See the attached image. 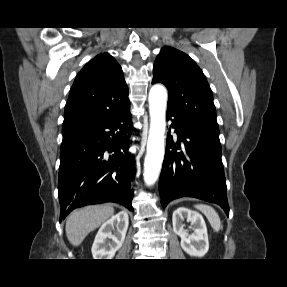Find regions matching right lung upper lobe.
<instances>
[{
  "instance_id": "right-lung-upper-lobe-1",
  "label": "right lung upper lobe",
  "mask_w": 287,
  "mask_h": 287,
  "mask_svg": "<svg viewBox=\"0 0 287 287\" xmlns=\"http://www.w3.org/2000/svg\"><path fill=\"white\" fill-rule=\"evenodd\" d=\"M129 104L120 65L108 53L99 54L75 78L65 106L63 127L84 126Z\"/></svg>"
}]
</instances>
